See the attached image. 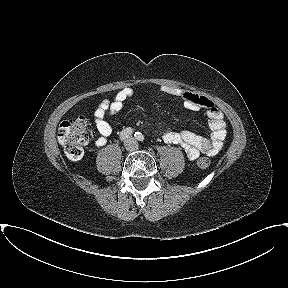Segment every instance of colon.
<instances>
[{
    "label": "colon",
    "mask_w": 288,
    "mask_h": 288,
    "mask_svg": "<svg viewBox=\"0 0 288 288\" xmlns=\"http://www.w3.org/2000/svg\"><path fill=\"white\" fill-rule=\"evenodd\" d=\"M87 119L77 117L63 121L58 130V142L63 146L66 156L70 160H79L84 154V147L88 143ZM211 161L207 157L197 160L198 167L206 169Z\"/></svg>",
    "instance_id": "5ec220e1"
}]
</instances>
